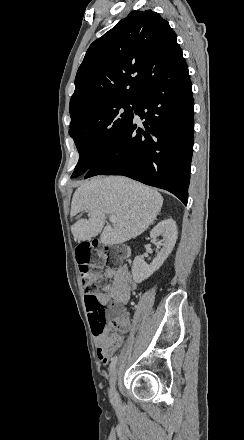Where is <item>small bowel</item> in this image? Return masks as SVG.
<instances>
[{"label":"small bowel","instance_id":"1","mask_svg":"<svg viewBox=\"0 0 244 440\" xmlns=\"http://www.w3.org/2000/svg\"><path fill=\"white\" fill-rule=\"evenodd\" d=\"M103 275L109 280V283L102 288V291L91 295L86 294L85 299L94 297L98 301L116 300L117 304L121 306L127 305L131 300L132 292L136 288V282L128 266L121 265L117 269H105ZM111 329L112 327H107L102 335L95 337L96 355L103 365H107L112 360L113 353L119 351L125 340V338H116Z\"/></svg>","mask_w":244,"mask_h":440}]
</instances>
